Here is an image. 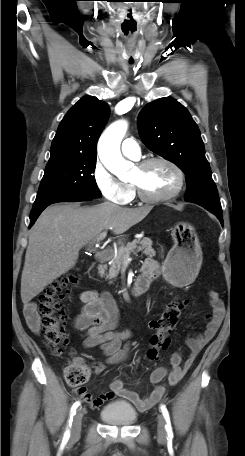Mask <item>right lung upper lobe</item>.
Returning <instances> with one entry per match:
<instances>
[{
	"mask_svg": "<svg viewBox=\"0 0 245 456\" xmlns=\"http://www.w3.org/2000/svg\"><path fill=\"white\" fill-rule=\"evenodd\" d=\"M109 117V106L94 96L82 97L64 116L52 141L48 163L96 156L97 140Z\"/></svg>",
	"mask_w": 245,
	"mask_h": 456,
	"instance_id": "obj_1",
	"label": "right lung upper lobe"
}]
</instances>
